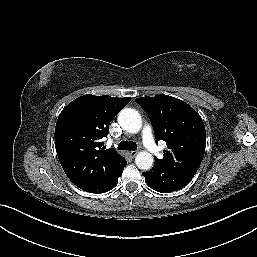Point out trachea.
Instances as JSON below:
<instances>
[{"label": "trachea", "mask_w": 257, "mask_h": 257, "mask_svg": "<svg viewBox=\"0 0 257 257\" xmlns=\"http://www.w3.org/2000/svg\"><path fill=\"white\" fill-rule=\"evenodd\" d=\"M119 150H136L137 145L134 142H128V141H121L118 145Z\"/></svg>", "instance_id": "trachea-1"}]
</instances>
